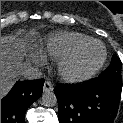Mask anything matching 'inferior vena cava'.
<instances>
[{"mask_svg":"<svg viewBox=\"0 0 123 123\" xmlns=\"http://www.w3.org/2000/svg\"><path fill=\"white\" fill-rule=\"evenodd\" d=\"M22 76L28 80H34L42 76V71L38 67L28 66L22 71Z\"/></svg>","mask_w":123,"mask_h":123,"instance_id":"602c4592","label":"inferior vena cava"}]
</instances>
